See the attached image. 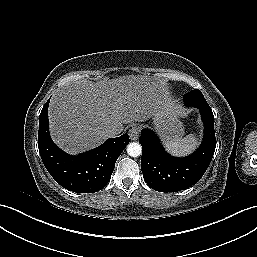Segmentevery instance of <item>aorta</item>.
Instances as JSON below:
<instances>
[{
  "label": "aorta",
  "mask_w": 257,
  "mask_h": 257,
  "mask_svg": "<svg viewBox=\"0 0 257 257\" xmlns=\"http://www.w3.org/2000/svg\"><path fill=\"white\" fill-rule=\"evenodd\" d=\"M127 153L132 157H138L142 153V147L137 142H132L127 145Z\"/></svg>",
  "instance_id": "obj_1"
}]
</instances>
